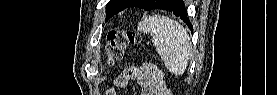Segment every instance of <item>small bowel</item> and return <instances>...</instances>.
Here are the masks:
<instances>
[{"instance_id": "c3829d8e", "label": "small bowel", "mask_w": 277, "mask_h": 95, "mask_svg": "<svg viewBox=\"0 0 277 95\" xmlns=\"http://www.w3.org/2000/svg\"><path fill=\"white\" fill-rule=\"evenodd\" d=\"M153 70V65L148 63H143L140 67L131 66L126 68L124 74L117 77L114 83L119 88H127L131 79L136 78L143 85L142 95H166V87L156 81ZM106 94L113 95L118 93L108 89Z\"/></svg>"}]
</instances>
